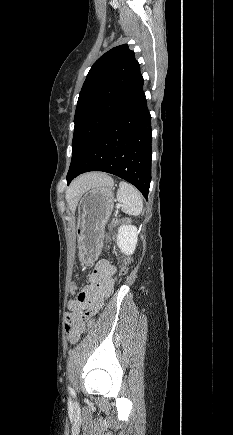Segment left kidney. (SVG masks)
Listing matches in <instances>:
<instances>
[{"label":"left kidney","mask_w":233,"mask_h":435,"mask_svg":"<svg viewBox=\"0 0 233 435\" xmlns=\"http://www.w3.org/2000/svg\"><path fill=\"white\" fill-rule=\"evenodd\" d=\"M138 240L137 228L133 225H121L117 234V246L126 255L134 253Z\"/></svg>","instance_id":"obj_1"}]
</instances>
